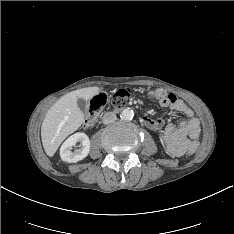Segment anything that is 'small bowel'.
<instances>
[{"label":"small bowel","mask_w":234,"mask_h":234,"mask_svg":"<svg viewBox=\"0 0 234 234\" xmlns=\"http://www.w3.org/2000/svg\"><path fill=\"white\" fill-rule=\"evenodd\" d=\"M162 95L158 99L161 107L184 114L187 119L178 126L168 124L163 129V142L168 152L173 156H182L187 151L193 140L198 139L200 134L199 120L194 116V111L175 94L159 91ZM144 124L152 130H160L164 126V119H152L148 116L143 118Z\"/></svg>","instance_id":"small-bowel-1"}]
</instances>
